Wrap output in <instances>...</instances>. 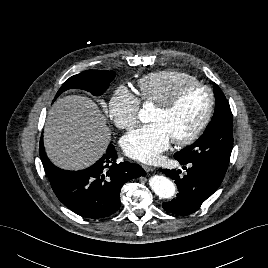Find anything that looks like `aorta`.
<instances>
[{
	"mask_svg": "<svg viewBox=\"0 0 268 268\" xmlns=\"http://www.w3.org/2000/svg\"><path fill=\"white\" fill-rule=\"evenodd\" d=\"M139 119L146 123L149 120V113L142 109L138 114ZM149 185L156 195L161 198H171L176 192V187L171 180L161 175H154L149 179Z\"/></svg>",
	"mask_w": 268,
	"mask_h": 268,
	"instance_id": "1",
	"label": "aorta"
}]
</instances>
